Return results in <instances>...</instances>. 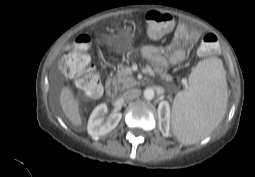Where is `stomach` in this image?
<instances>
[{"mask_svg":"<svg viewBox=\"0 0 255 177\" xmlns=\"http://www.w3.org/2000/svg\"><path fill=\"white\" fill-rule=\"evenodd\" d=\"M114 48L117 51H127L132 48L131 31L128 28H120L113 35Z\"/></svg>","mask_w":255,"mask_h":177,"instance_id":"1","label":"stomach"}]
</instances>
